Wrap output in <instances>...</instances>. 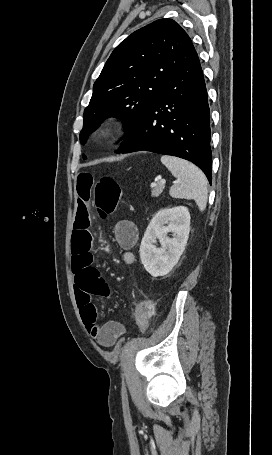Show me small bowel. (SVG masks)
Wrapping results in <instances>:
<instances>
[{
    "label": "small bowel",
    "mask_w": 272,
    "mask_h": 455,
    "mask_svg": "<svg viewBox=\"0 0 272 455\" xmlns=\"http://www.w3.org/2000/svg\"><path fill=\"white\" fill-rule=\"evenodd\" d=\"M96 180L93 174L83 171L76 178L77 213L72 233V271L75 275V294L82 320L97 342L112 346L124 334L122 322L110 320L103 325L97 323V308L93 303L96 297H107L110 289L101 272L93 264L91 253L92 234L89 203ZM114 236L122 248V261L127 265L134 264L136 256L133 251L138 240L136 225L129 220L118 221L114 227Z\"/></svg>",
    "instance_id": "obj_1"
}]
</instances>
